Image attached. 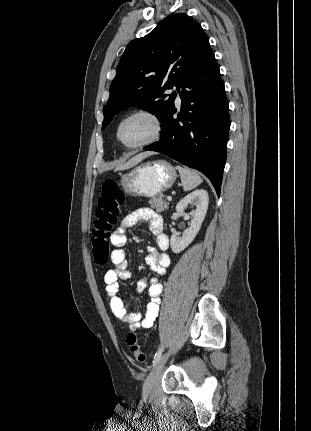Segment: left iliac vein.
<instances>
[{"mask_svg": "<svg viewBox=\"0 0 311 431\" xmlns=\"http://www.w3.org/2000/svg\"><path fill=\"white\" fill-rule=\"evenodd\" d=\"M170 352L167 351L165 352L160 359L157 361V363L154 365L152 371L150 372L149 376L147 377L144 386H143V395L145 397H147L150 392L152 391L155 382L159 376V374L161 373L165 363L167 362L168 358H169Z\"/></svg>", "mask_w": 311, "mask_h": 431, "instance_id": "left-iliac-vein-1", "label": "left iliac vein"}]
</instances>
